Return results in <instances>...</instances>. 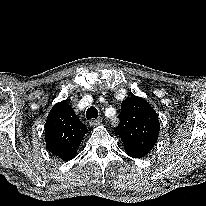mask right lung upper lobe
<instances>
[{"label": "right lung upper lobe", "mask_w": 206, "mask_h": 206, "mask_svg": "<svg viewBox=\"0 0 206 206\" xmlns=\"http://www.w3.org/2000/svg\"><path fill=\"white\" fill-rule=\"evenodd\" d=\"M87 133L72 107L62 101L53 106L45 123L47 149L63 161L73 159Z\"/></svg>", "instance_id": "cb5924a9"}]
</instances>
